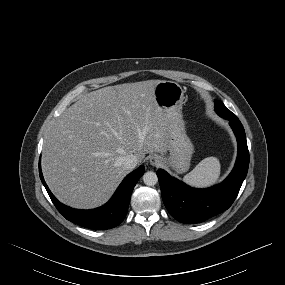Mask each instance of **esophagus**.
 I'll use <instances>...</instances> for the list:
<instances>
[{
    "label": "esophagus",
    "instance_id": "34e87169",
    "mask_svg": "<svg viewBox=\"0 0 285 285\" xmlns=\"http://www.w3.org/2000/svg\"><path fill=\"white\" fill-rule=\"evenodd\" d=\"M149 162L152 166H159L162 162L161 157L158 155H152L149 159Z\"/></svg>",
    "mask_w": 285,
    "mask_h": 285
}]
</instances>
